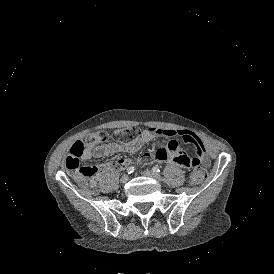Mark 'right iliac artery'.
I'll use <instances>...</instances> for the list:
<instances>
[{"label":"right iliac artery","mask_w":274,"mask_h":274,"mask_svg":"<svg viewBox=\"0 0 274 274\" xmlns=\"http://www.w3.org/2000/svg\"><path fill=\"white\" fill-rule=\"evenodd\" d=\"M134 170H135L134 167H133V166H130V167L127 168V173H128V174H131V173L134 172Z\"/></svg>","instance_id":"right-iliac-artery-1"}]
</instances>
